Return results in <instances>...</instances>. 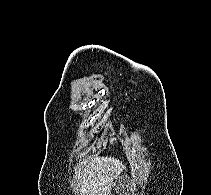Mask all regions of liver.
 I'll list each match as a JSON object with an SVG mask.
<instances>
[{
	"mask_svg": "<svg viewBox=\"0 0 211 195\" xmlns=\"http://www.w3.org/2000/svg\"><path fill=\"white\" fill-rule=\"evenodd\" d=\"M125 166L113 157H91L80 175V195H111L114 180Z\"/></svg>",
	"mask_w": 211,
	"mask_h": 195,
	"instance_id": "6515ba94",
	"label": "liver"
}]
</instances>
